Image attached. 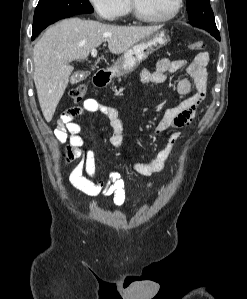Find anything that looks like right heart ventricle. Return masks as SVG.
<instances>
[{"label": "right heart ventricle", "instance_id": "obj_1", "mask_svg": "<svg viewBox=\"0 0 247 299\" xmlns=\"http://www.w3.org/2000/svg\"><path fill=\"white\" fill-rule=\"evenodd\" d=\"M131 12V4H130V0H125L124 2V12L123 15L128 14Z\"/></svg>", "mask_w": 247, "mask_h": 299}]
</instances>
